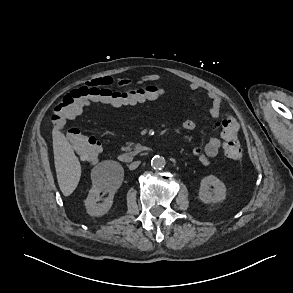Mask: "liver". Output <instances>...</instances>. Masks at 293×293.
Here are the masks:
<instances>
[{"mask_svg": "<svg viewBox=\"0 0 293 293\" xmlns=\"http://www.w3.org/2000/svg\"><path fill=\"white\" fill-rule=\"evenodd\" d=\"M53 152L60 190L64 196H69L79 183L81 165L71 144L59 130L53 131Z\"/></svg>", "mask_w": 293, "mask_h": 293, "instance_id": "obj_1", "label": "liver"}]
</instances>
